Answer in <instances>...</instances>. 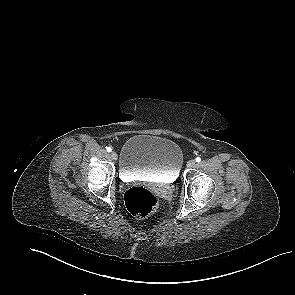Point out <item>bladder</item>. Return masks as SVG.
<instances>
[{
	"label": "bladder",
	"mask_w": 295,
	"mask_h": 295,
	"mask_svg": "<svg viewBox=\"0 0 295 295\" xmlns=\"http://www.w3.org/2000/svg\"><path fill=\"white\" fill-rule=\"evenodd\" d=\"M119 163L124 178L142 175L173 182L179 175L183 153L170 139L138 134L123 144Z\"/></svg>",
	"instance_id": "1"
}]
</instances>
